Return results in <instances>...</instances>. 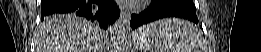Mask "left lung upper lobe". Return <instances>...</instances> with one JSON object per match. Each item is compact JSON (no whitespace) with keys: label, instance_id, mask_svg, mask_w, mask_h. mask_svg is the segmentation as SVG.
<instances>
[{"label":"left lung upper lobe","instance_id":"obj_1","mask_svg":"<svg viewBox=\"0 0 261 52\" xmlns=\"http://www.w3.org/2000/svg\"><path fill=\"white\" fill-rule=\"evenodd\" d=\"M182 1H187V2H189V3H191V4L194 5V3L192 2V0H182Z\"/></svg>","mask_w":261,"mask_h":52}]
</instances>
